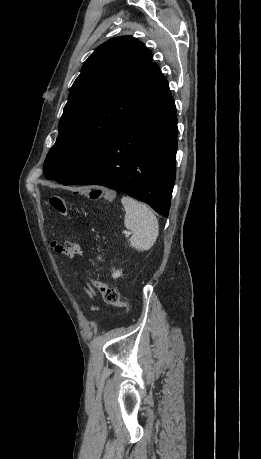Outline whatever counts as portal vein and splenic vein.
Here are the masks:
<instances>
[{
	"label": "portal vein and splenic vein",
	"mask_w": 261,
	"mask_h": 459,
	"mask_svg": "<svg viewBox=\"0 0 261 459\" xmlns=\"http://www.w3.org/2000/svg\"><path fill=\"white\" fill-rule=\"evenodd\" d=\"M123 233H124L126 236H129V235H130V232H128V231H123Z\"/></svg>",
	"instance_id": "portal-vein-and-splenic-vein-1"
}]
</instances>
